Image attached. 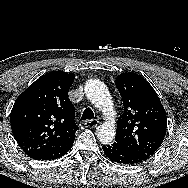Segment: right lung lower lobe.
<instances>
[{"label": "right lung lower lobe", "mask_w": 188, "mask_h": 188, "mask_svg": "<svg viewBox=\"0 0 188 188\" xmlns=\"http://www.w3.org/2000/svg\"><path fill=\"white\" fill-rule=\"evenodd\" d=\"M72 145H73V143H71L65 147L53 150V151L42 153V154L36 156L34 159L51 160V159H56V158L62 157L71 149Z\"/></svg>", "instance_id": "98d812e1"}]
</instances>
